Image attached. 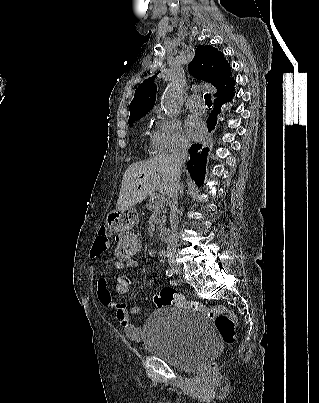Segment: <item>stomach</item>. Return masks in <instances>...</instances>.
Here are the masks:
<instances>
[{"mask_svg": "<svg viewBox=\"0 0 319 403\" xmlns=\"http://www.w3.org/2000/svg\"><path fill=\"white\" fill-rule=\"evenodd\" d=\"M136 219L137 215L133 209L111 210L107 215L106 223L115 238L117 234L133 233Z\"/></svg>", "mask_w": 319, "mask_h": 403, "instance_id": "0dacf381", "label": "stomach"}]
</instances>
